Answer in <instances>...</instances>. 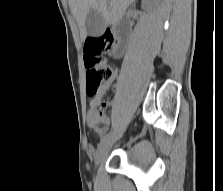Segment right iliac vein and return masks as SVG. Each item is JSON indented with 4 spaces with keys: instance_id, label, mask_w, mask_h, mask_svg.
Segmentation results:
<instances>
[{
    "instance_id": "obj_1",
    "label": "right iliac vein",
    "mask_w": 223,
    "mask_h": 191,
    "mask_svg": "<svg viewBox=\"0 0 223 191\" xmlns=\"http://www.w3.org/2000/svg\"><path fill=\"white\" fill-rule=\"evenodd\" d=\"M110 145H111V138L102 142L99 145V147L95 153V156H94L95 166H97L104 159V157L106 156V154L109 150Z\"/></svg>"
}]
</instances>
